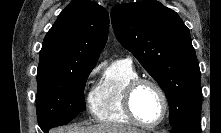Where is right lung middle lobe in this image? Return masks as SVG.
<instances>
[{
  "instance_id": "obj_1",
  "label": "right lung middle lobe",
  "mask_w": 221,
  "mask_h": 133,
  "mask_svg": "<svg viewBox=\"0 0 221 133\" xmlns=\"http://www.w3.org/2000/svg\"><path fill=\"white\" fill-rule=\"evenodd\" d=\"M96 65L77 63L37 73V117L44 133L64 125L86 109L84 86Z\"/></svg>"
}]
</instances>
